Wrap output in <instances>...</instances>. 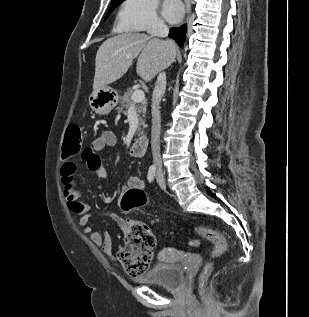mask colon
Returning <instances> with one entry per match:
<instances>
[{
    "label": "colon",
    "instance_id": "1",
    "mask_svg": "<svg viewBox=\"0 0 309 317\" xmlns=\"http://www.w3.org/2000/svg\"><path fill=\"white\" fill-rule=\"evenodd\" d=\"M82 133L77 124L67 127L63 145L64 162L83 154ZM147 197L143 190H129L122 197V209L129 211L142 207L146 204ZM194 231L203 239L213 244L211 258L222 255L227 249V240L222 233L206 227H195ZM125 244L119 251V259L125 271L136 276L147 271L152 261L153 249L156 244L155 237L150 228L142 222H131L124 232ZM199 240L192 239L189 245L197 247ZM212 271V261H208L199 276V293L202 297L206 294V282Z\"/></svg>",
    "mask_w": 309,
    "mask_h": 317
}]
</instances>
